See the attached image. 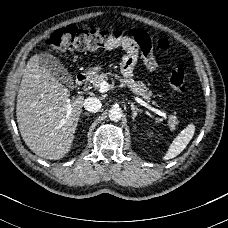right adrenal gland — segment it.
I'll use <instances>...</instances> for the list:
<instances>
[{
	"instance_id": "1",
	"label": "right adrenal gland",
	"mask_w": 228,
	"mask_h": 228,
	"mask_svg": "<svg viewBox=\"0 0 228 228\" xmlns=\"http://www.w3.org/2000/svg\"><path fill=\"white\" fill-rule=\"evenodd\" d=\"M84 115H86V116H90V115H89V113H87V112H85V113H84Z\"/></svg>"
}]
</instances>
